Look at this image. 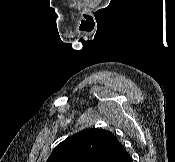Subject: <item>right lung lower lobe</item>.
Masks as SVG:
<instances>
[{"label": "right lung lower lobe", "mask_w": 175, "mask_h": 162, "mask_svg": "<svg viewBox=\"0 0 175 162\" xmlns=\"http://www.w3.org/2000/svg\"><path fill=\"white\" fill-rule=\"evenodd\" d=\"M118 162H132V159L130 158V156L127 154L124 157H122L120 160H118Z\"/></svg>", "instance_id": "obj_1"}]
</instances>
